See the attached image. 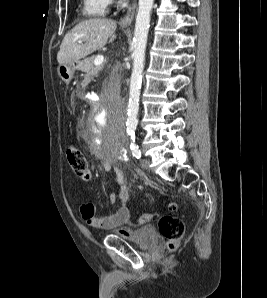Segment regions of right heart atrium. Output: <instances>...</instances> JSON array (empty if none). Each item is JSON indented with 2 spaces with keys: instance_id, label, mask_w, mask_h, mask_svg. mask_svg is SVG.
Here are the masks:
<instances>
[{
  "instance_id": "d8ad5b80",
  "label": "right heart atrium",
  "mask_w": 267,
  "mask_h": 298,
  "mask_svg": "<svg viewBox=\"0 0 267 298\" xmlns=\"http://www.w3.org/2000/svg\"><path fill=\"white\" fill-rule=\"evenodd\" d=\"M107 5H111L113 3V0H106Z\"/></svg>"
}]
</instances>
